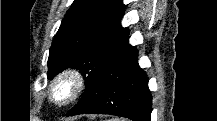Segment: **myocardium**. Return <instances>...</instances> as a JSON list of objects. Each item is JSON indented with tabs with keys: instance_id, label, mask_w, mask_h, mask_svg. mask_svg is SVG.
Masks as SVG:
<instances>
[{
	"instance_id": "1",
	"label": "myocardium",
	"mask_w": 217,
	"mask_h": 121,
	"mask_svg": "<svg viewBox=\"0 0 217 121\" xmlns=\"http://www.w3.org/2000/svg\"><path fill=\"white\" fill-rule=\"evenodd\" d=\"M86 87V78L76 69L59 73L51 82L48 97L58 107H64L77 99Z\"/></svg>"
}]
</instances>
